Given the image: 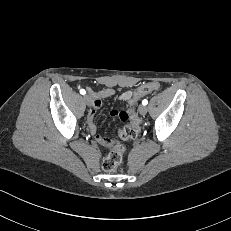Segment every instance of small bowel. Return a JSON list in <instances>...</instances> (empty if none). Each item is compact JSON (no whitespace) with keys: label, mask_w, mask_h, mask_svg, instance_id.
<instances>
[{"label":"small bowel","mask_w":231,"mask_h":231,"mask_svg":"<svg viewBox=\"0 0 231 231\" xmlns=\"http://www.w3.org/2000/svg\"><path fill=\"white\" fill-rule=\"evenodd\" d=\"M87 89L89 91L90 96L93 99L92 109L90 110L89 117H88L89 130L98 144L105 147L112 146L115 143V141L105 136H102L98 132L97 123H96V112L102 106V103L105 99L115 98L120 101H129L132 96V92L128 90L118 94L117 91L113 88H104L100 91H94L89 87ZM121 112L122 111L113 109L111 110L110 115L114 118L120 119L119 115Z\"/></svg>","instance_id":"small-bowel-1"}]
</instances>
